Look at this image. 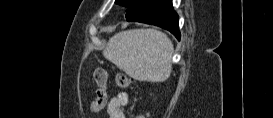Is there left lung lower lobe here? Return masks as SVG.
Wrapping results in <instances>:
<instances>
[{
    "instance_id": "obj_1",
    "label": "left lung lower lobe",
    "mask_w": 273,
    "mask_h": 118,
    "mask_svg": "<svg viewBox=\"0 0 273 118\" xmlns=\"http://www.w3.org/2000/svg\"><path fill=\"white\" fill-rule=\"evenodd\" d=\"M139 22L162 27L170 31L178 40H180L179 20L177 13L173 9L172 0H169V2L159 11Z\"/></svg>"
}]
</instances>
